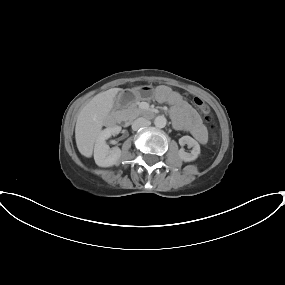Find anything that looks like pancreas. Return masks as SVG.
<instances>
[{"label": "pancreas", "mask_w": 285, "mask_h": 285, "mask_svg": "<svg viewBox=\"0 0 285 285\" xmlns=\"http://www.w3.org/2000/svg\"><path fill=\"white\" fill-rule=\"evenodd\" d=\"M123 112L126 120H134L135 118L141 115L142 110L138 108L137 103H133L128 106V108L125 109Z\"/></svg>", "instance_id": "1"}]
</instances>
